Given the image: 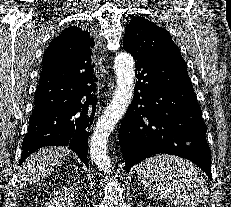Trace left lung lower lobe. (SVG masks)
Returning <instances> with one entry per match:
<instances>
[{
	"mask_svg": "<svg viewBox=\"0 0 231 207\" xmlns=\"http://www.w3.org/2000/svg\"><path fill=\"white\" fill-rule=\"evenodd\" d=\"M133 101L119 130L129 171L145 158L167 153L186 158L211 174V151L185 61L138 55Z\"/></svg>",
	"mask_w": 231,
	"mask_h": 207,
	"instance_id": "obj_1",
	"label": "left lung lower lobe"
}]
</instances>
